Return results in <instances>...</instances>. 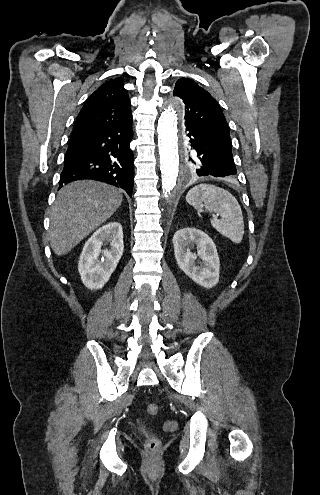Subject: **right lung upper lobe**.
I'll use <instances>...</instances> for the list:
<instances>
[{"instance_id": "cb5924a9", "label": "right lung upper lobe", "mask_w": 320, "mask_h": 495, "mask_svg": "<svg viewBox=\"0 0 320 495\" xmlns=\"http://www.w3.org/2000/svg\"><path fill=\"white\" fill-rule=\"evenodd\" d=\"M132 122L131 103L122 78L103 83L85 102L71 137L127 125Z\"/></svg>"}]
</instances>
